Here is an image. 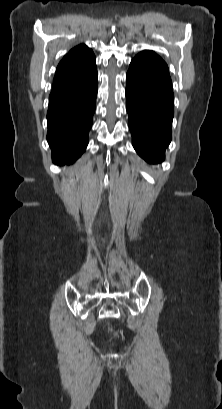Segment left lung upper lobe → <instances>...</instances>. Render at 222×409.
<instances>
[{"label": "left lung upper lobe", "instance_id": "obj_1", "mask_svg": "<svg viewBox=\"0 0 222 409\" xmlns=\"http://www.w3.org/2000/svg\"><path fill=\"white\" fill-rule=\"evenodd\" d=\"M129 70L172 85L167 64L153 51L145 50L136 55Z\"/></svg>", "mask_w": 222, "mask_h": 409}]
</instances>
